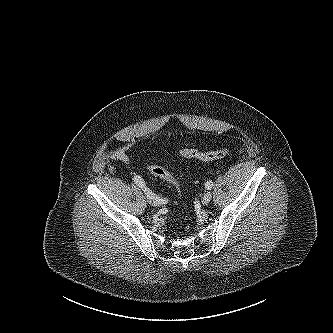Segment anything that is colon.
<instances>
[{
  "instance_id": "5ec220e1",
  "label": "colon",
  "mask_w": 333,
  "mask_h": 333,
  "mask_svg": "<svg viewBox=\"0 0 333 333\" xmlns=\"http://www.w3.org/2000/svg\"><path fill=\"white\" fill-rule=\"evenodd\" d=\"M229 154V150L224 148V149H219L216 151H209V152H202L196 149H183L180 151V155L185 158H193V159H198L201 161H215L219 159L225 158ZM149 172L159 178L162 179L168 183L173 184L175 187L178 189L180 188L179 182L177 179L165 168L152 165L149 167Z\"/></svg>"
}]
</instances>
